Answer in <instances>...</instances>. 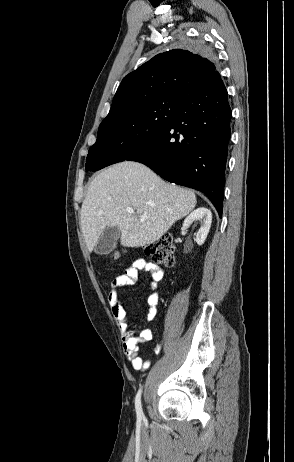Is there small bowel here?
<instances>
[{
	"instance_id": "1",
	"label": "small bowel",
	"mask_w": 294,
	"mask_h": 462,
	"mask_svg": "<svg viewBox=\"0 0 294 462\" xmlns=\"http://www.w3.org/2000/svg\"><path fill=\"white\" fill-rule=\"evenodd\" d=\"M140 272L150 274L148 282L149 296L147 299L149 309L146 320L153 321L158 314V284L163 279L165 272L160 266L143 258L136 259L123 274L118 275L112 280L108 292V302L121 332L122 347L125 356L135 370L144 371L149 368L151 361L150 359H143L140 356L139 344L150 341L152 339V332L150 329L134 330L128 327L127 312L119 296V290L122 287L133 285L137 281ZM160 350L161 344H158L154 351L155 353H159Z\"/></svg>"
}]
</instances>
